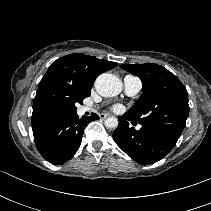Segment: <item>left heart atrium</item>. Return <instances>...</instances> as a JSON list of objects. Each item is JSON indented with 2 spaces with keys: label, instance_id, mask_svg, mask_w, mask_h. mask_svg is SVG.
Here are the masks:
<instances>
[{
  "label": "left heart atrium",
  "instance_id": "39dd6f15",
  "mask_svg": "<svg viewBox=\"0 0 211 211\" xmlns=\"http://www.w3.org/2000/svg\"><path fill=\"white\" fill-rule=\"evenodd\" d=\"M114 109H115V110H119V109H120V107H119V106H116Z\"/></svg>",
  "mask_w": 211,
  "mask_h": 211
}]
</instances>
